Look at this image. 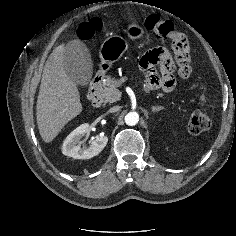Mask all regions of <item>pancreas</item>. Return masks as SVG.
<instances>
[{"instance_id":"1","label":"pancreas","mask_w":236,"mask_h":236,"mask_svg":"<svg viewBox=\"0 0 236 236\" xmlns=\"http://www.w3.org/2000/svg\"><path fill=\"white\" fill-rule=\"evenodd\" d=\"M121 82L111 76H107L105 81L100 85L98 90L99 98L105 103H113L120 100L122 93L117 89Z\"/></svg>"}]
</instances>
